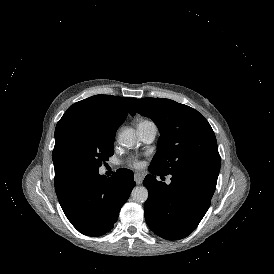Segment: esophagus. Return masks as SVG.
I'll return each mask as SVG.
<instances>
[{
	"label": "esophagus",
	"instance_id": "34e87169",
	"mask_svg": "<svg viewBox=\"0 0 274 274\" xmlns=\"http://www.w3.org/2000/svg\"><path fill=\"white\" fill-rule=\"evenodd\" d=\"M143 179H144V175L142 173H139V172L134 173V181L137 184H141L143 182Z\"/></svg>",
	"mask_w": 274,
	"mask_h": 274
}]
</instances>
